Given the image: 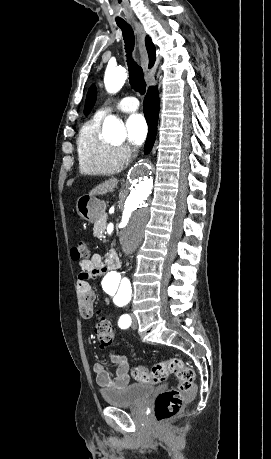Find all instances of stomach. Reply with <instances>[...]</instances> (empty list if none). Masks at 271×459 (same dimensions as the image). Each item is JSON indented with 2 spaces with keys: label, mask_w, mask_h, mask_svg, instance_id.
<instances>
[{
  "label": "stomach",
  "mask_w": 271,
  "mask_h": 459,
  "mask_svg": "<svg viewBox=\"0 0 271 459\" xmlns=\"http://www.w3.org/2000/svg\"><path fill=\"white\" fill-rule=\"evenodd\" d=\"M76 210L80 218H83L86 222H90V224H95V222H98L104 216L105 204L101 200L93 198V196H81L77 200Z\"/></svg>",
  "instance_id": "stomach-1"
}]
</instances>
